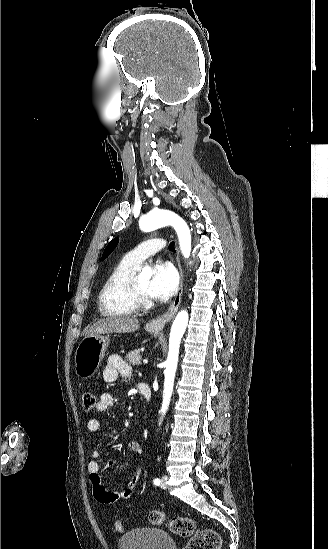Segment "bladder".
Masks as SVG:
<instances>
[{"mask_svg": "<svg viewBox=\"0 0 328 549\" xmlns=\"http://www.w3.org/2000/svg\"><path fill=\"white\" fill-rule=\"evenodd\" d=\"M131 536H120L119 549H175L170 534L158 529L142 527Z\"/></svg>", "mask_w": 328, "mask_h": 549, "instance_id": "obj_1", "label": "bladder"}]
</instances>
